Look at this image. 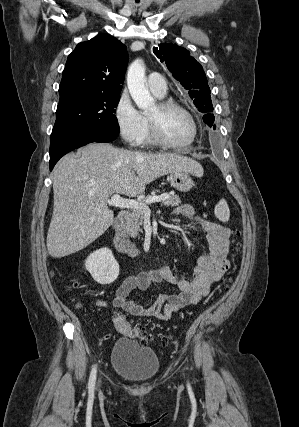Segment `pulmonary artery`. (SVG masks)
<instances>
[{"label": "pulmonary artery", "instance_id": "e3ab8cb5", "mask_svg": "<svg viewBox=\"0 0 299 427\" xmlns=\"http://www.w3.org/2000/svg\"><path fill=\"white\" fill-rule=\"evenodd\" d=\"M148 87L158 97H164L167 92V83L164 76L160 73L153 72L148 76Z\"/></svg>", "mask_w": 299, "mask_h": 427}]
</instances>
